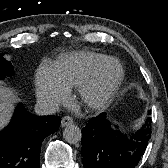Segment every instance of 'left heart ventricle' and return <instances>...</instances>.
<instances>
[{
    "label": "left heart ventricle",
    "mask_w": 168,
    "mask_h": 168,
    "mask_svg": "<svg viewBox=\"0 0 168 168\" xmlns=\"http://www.w3.org/2000/svg\"><path fill=\"white\" fill-rule=\"evenodd\" d=\"M113 74H114L113 67H109L104 74V80L105 81L108 80L111 76H113Z\"/></svg>",
    "instance_id": "b2bd125f"
}]
</instances>
